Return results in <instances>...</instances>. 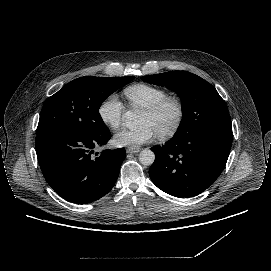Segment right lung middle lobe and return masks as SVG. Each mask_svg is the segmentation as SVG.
<instances>
[{
	"mask_svg": "<svg viewBox=\"0 0 271 271\" xmlns=\"http://www.w3.org/2000/svg\"><path fill=\"white\" fill-rule=\"evenodd\" d=\"M134 76H85L66 84L45 102L36 134L51 129L93 134L106 129L98 110L105 99Z\"/></svg>",
	"mask_w": 271,
	"mask_h": 271,
	"instance_id": "1",
	"label": "right lung middle lobe"
}]
</instances>
